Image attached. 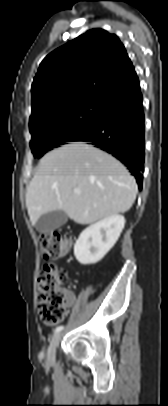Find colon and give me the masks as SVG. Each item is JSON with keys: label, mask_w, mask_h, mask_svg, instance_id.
I'll return each instance as SVG.
<instances>
[{"label": "colon", "mask_w": 168, "mask_h": 406, "mask_svg": "<svg viewBox=\"0 0 168 406\" xmlns=\"http://www.w3.org/2000/svg\"><path fill=\"white\" fill-rule=\"evenodd\" d=\"M39 241L42 257L46 261L66 256L72 247L70 239L60 231L44 232L40 234ZM67 279L66 271L53 263L44 265L38 274L36 283L38 313L46 324H58L64 318V285Z\"/></svg>", "instance_id": "1"}]
</instances>
